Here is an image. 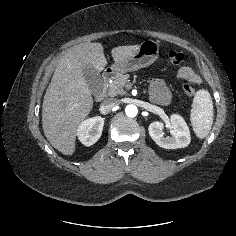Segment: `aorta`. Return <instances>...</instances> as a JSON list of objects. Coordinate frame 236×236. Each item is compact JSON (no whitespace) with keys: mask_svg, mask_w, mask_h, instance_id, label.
I'll return each mask as SVG.
<instances>
[{"mask_svg":"<svg viewBox=\"0 0 236 236\" xmlns=\"http://www.w3.org/2000/svg\"><path fill=\"white\" fill-rule=\"evenodd\" d=\"M125 113L128 117H135L138 113V108L133 104L127 105L125 108Z\"/></svg>","mask_w":236,"mask_h":236,"instance_id":"aorta-1","label":"aorta"}]
</instances>
